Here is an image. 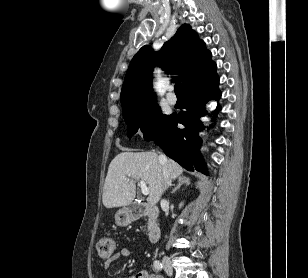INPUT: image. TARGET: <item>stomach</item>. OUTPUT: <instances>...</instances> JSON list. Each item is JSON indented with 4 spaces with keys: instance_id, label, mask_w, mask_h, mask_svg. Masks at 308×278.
<instances>
[{
    "instance_id": "obj_1",
    "label": "stomach",
    "mask_w": 308,
    "mask_h": 278,
    "mask_svg": "<svg viewBox=\"0 0 308 278\" xmlns=\"http://www.w3.org/2000/svg\"><path fill=\"white\" fill-rule=\"evenodd\" d=\"M115 222L119 226H123V225L128 224L130 222V214H129V212L127 210H125V209L119 210L115 214Z\"/></svg>"
}]
</instances>
